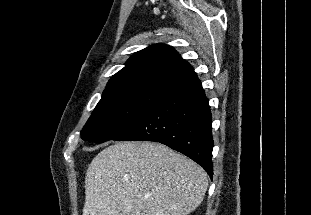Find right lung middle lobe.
I'll list each match as a JSON object with an SVG mask.
<instances>
[{
	"instance_id": "dd1d6c3e",
	"label": "right lung middle lobe",
	"mask_w": 311,
	"mask_h": 215,
	"mask_svg": "<svg viewBox=\"0 0 311 215\" xmlns=\"http://www.w3.org/2000/svg\"><path fill=\"white\" fill-rule=\"evenodd\" d=\"M169 84H130L105 89L81 138L103 143L130 129L161 99Z\"/></svg>"
}]
</instances>
